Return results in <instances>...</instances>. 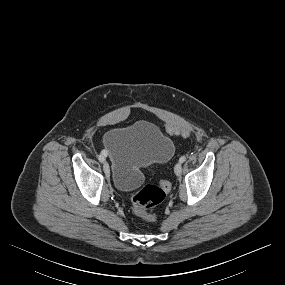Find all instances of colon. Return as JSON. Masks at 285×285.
Returning a JSON list of instances; mask_svg holds the SVG:
<instances>
[{"instance_id":"obj_1","label":"colon","mask_w":285,"mask_h":285,"mask_svg":"<svg viewBox=\"0 0 285 285\" xmlns=\"http://www.w3.org/2000/svg\"><path fill=\"white\" fill-rule=\"evenodd\" d=\"M166 132L170 136L188 137L190 131L186 128L167 124ZM171 185L168 181H163L159 186L145 185L131 196V202L135 213L147 222H154L156 215L151 209L160 204Z\"/></svg>"}]
</instances>
